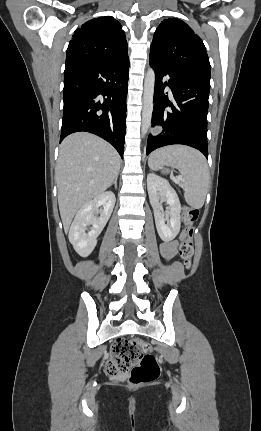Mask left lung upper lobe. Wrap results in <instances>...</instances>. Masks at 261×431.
<instances>
[{
  "label": "left lung upper lobe",
  "instance_id": "obj_1",
  "mask_svg": "<svg viewBox=\"0 0 261 431\" xmlns=\"http://www.w3.org/2000/svg\"><path fill=\"white\" fill-rule=\"evenodd\" d=\"M150 56L178 69L210 79V63L198 35L182 20L168 18L157 27Z\"/></svg>",
  "mask_w": 261,
  "mask_h": 431
}]
</instances>
